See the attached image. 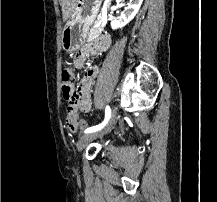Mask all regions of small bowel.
Masks as SVG:
<instances>
[{"mask_svg":"<svg viewBox=\"0 0 217 202\" xmlns=\"http://www.w3.org/2000/svg\"><path fill=\"white\" fill-rule=\"evenodd\" d=\"M111 43V38L110 36L103 34L98 36L96 39L92 40L91 42L87 43L77 54V56L74 59V65L77 68H81L84 64L86 56L90 54H96L100 52H104L108 49L109 45ZM98 73V69L96 68H91L86 71L84 79H83V84L82 87L85 91H87V88L94 82V79ZM87 95V94H85ZM84 108H82L84 111L89 112L91 110V106H96V101H84ZM75 114H66V116H76V121L77 123L79 121V112L76 109ZM81 126H86V123L83 125H79L78 128L81 129ZM75 130V131H76Z\"/></svg>","mask_w":217,"mask_h":202,"instance_id":"1","label":"small bowel"}]
</instances>
